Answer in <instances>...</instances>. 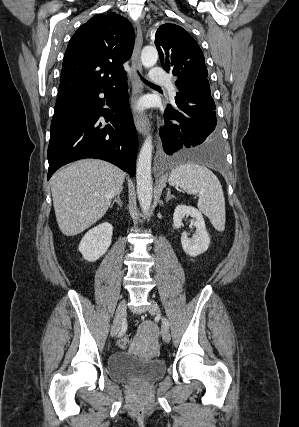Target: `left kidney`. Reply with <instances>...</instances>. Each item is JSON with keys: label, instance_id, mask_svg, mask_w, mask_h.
Listing matches in <instances>:
<instances>
[{"label": "left kidney", "instance_id": "5707ae66", "mask_svg": "<svg viewBox=\"0 0 299 427\" xmlns=\"http://www.w3.org/2000/svg\"><path fill=\"white\" fill-rule=\"evenodd\" d=\"M185 216H192L193 226L196 232L192 238L188 233L181 236V244L184 252L191 257L198 256L207 251L210 244V237L206 231L204 218L199 210L192 206L178 205L174 211L173 222L177 228H181Z\"/></svg>", "mask_w": 299, "mask_h": 427}]
</instances>
